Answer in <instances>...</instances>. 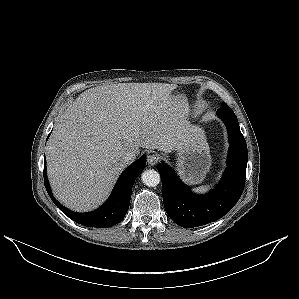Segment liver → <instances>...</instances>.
<instances>
[{"label": "liver", "mask_w": 299, "mask_h": 299, "mask_svg": "<svg viewBox=\"0 0 299 299\" xmlns=\"http://www.w3.org/2000/svg\"><path fill=\"white\" fill-rule=\"evenodd\" d=\"M175 84L119 83L88 89L60 116L48 141L56 198L85 212L98 207L127 167V150H180L190 137L188 103Z\"/></svg>", "instance_id": "liver-1"}]
</instances>
